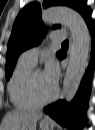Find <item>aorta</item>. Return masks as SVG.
Returning a JSON list of instances; mask_svg holds the SVG:
<instances>
[{"label": "aorta", "mask_w": 95, "mask_h": 130, "mask_svg": "<svg viewBox=\"0 0 95 130\" xmlns=\"http://www.w3.org/2000/svg\"><path fill=\"white\" fill-rule=\"evenodd\" d=\"M45 23L61 22L70 30L73 50L63 82V98L69 103L75 97L88 64L90 34L82 16L66 7H51L42 12Z\"/></svg>", "instance_id": "1"}]
</instances>
